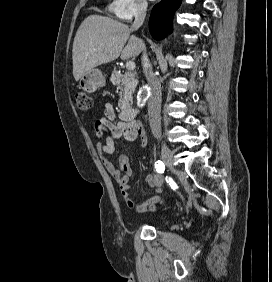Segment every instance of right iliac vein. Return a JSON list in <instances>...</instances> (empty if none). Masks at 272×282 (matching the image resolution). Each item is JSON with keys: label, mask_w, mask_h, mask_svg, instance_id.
Masks as SVG:
<instances>
[{"label": "right iliac vein", "mask_w": 272, "mask_h": 282, "mask_svg": "<svg viewBox=\"0 0 272 282\" xmlns=\"http://www.w3.org/2000/svg\"><path fill=\"white\" fill-rule=\"evenodd\" d=\"M161 154L165 165L174 171L172 152L165 144H162Z\"/></svg>", "instance_id": "right-iliac-vein-1"}]
</instances>
